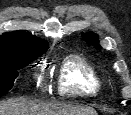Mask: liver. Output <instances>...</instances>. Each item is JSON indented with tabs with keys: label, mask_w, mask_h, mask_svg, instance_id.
<instances>
[{
	"label": "liver",
	"mask_w": 131,
	"mask_h": 115,
	"mask_svg": "<svg viewBox=\"0 0 131 115\" xmlns=\"http://www.w3.org/2000/svg\"><path fill=\"white\" fill-rule=\"evenodd\" d=\"M0 115H97V112L90 107L12 99L0 102Z\"/></svg>",
	"instance_id": "6515ba94"
}]
</instances>
